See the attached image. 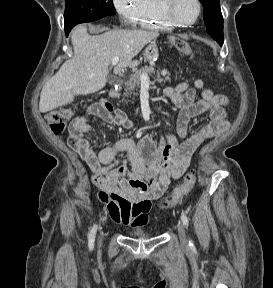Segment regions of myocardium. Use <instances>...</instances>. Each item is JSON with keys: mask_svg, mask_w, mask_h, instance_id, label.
<instances>
[{"mask_svg": "<svg viewBox=\"0 0 273 288\" xmlns=\"http://www.w3.org/2000/svg\"><path fill=\"white\" fill-rule=\"evenodd\" d=\"M175 0H161V6L163 10V14L165 18L174 26L178 27H189L194 25L200 18L202 13V4L200 0H195V3L197 5V15L196 17L190 21V22H184L179 20L173 12V6H174Z\"/></svg>", "mask_w": 273, "mask_h": 288, "instance_id": "obj_1", "label": "myocardium"}]
</instances>
